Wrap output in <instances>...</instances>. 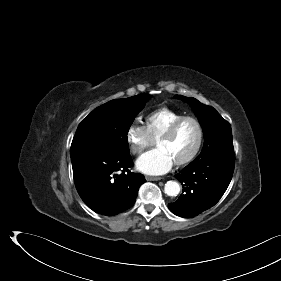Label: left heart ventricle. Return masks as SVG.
<instances>
[{"label":"left heart ventricle","instance_id":"b2bd125f","mask_svg":"<svg viewBox=\"0 0 281 281\" xmlns=\"http://www.w3.org/2000/svg\"><path fill=\"white\" fill-rule=\"evenodd\" d=\"M198 140V128L196 124L184 121L172 138L157 143L159 149L164 150L174 162L187 157L195 148Z\"/></svg>","mask_w":281,"mask_h":281}]
</instances>
